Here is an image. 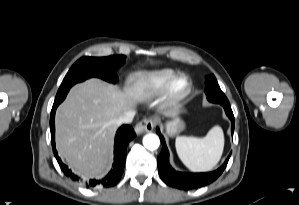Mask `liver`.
Listing matches in <instances>:
<instances>
[{"instance_id":"6515ba94","label":"liver","mask_w":299,"mask_h":205,"mask_svg":"<svg viewBox=\"0 0 299 205\" xmlns=\"http://www.w3.org/2000/svg\"><path fill=\"white\" fill-rule=\"evenodd\" d=\"M129 91L92 78L72 87L56 112V147L59 155L83 178L103 172L108 164L117 120L133 111ZM171 109L165 115L175 117Z\"/></svg>"}]
</instances>
